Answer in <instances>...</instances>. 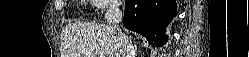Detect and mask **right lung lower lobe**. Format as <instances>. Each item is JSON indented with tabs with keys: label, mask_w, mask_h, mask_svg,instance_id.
Listing matches in <instances>:
<instances>
[{
	"label": "right lung lower lobe",
	"mask_w": 249,
	"mask_h": 57,
	"mask_svg": "<svg viewBox=\"0 0 249 57\" xmlns=\"http://www.w3.org/2000/svg\"><path fill=\"white\" fill-rule=\"evenodd\" d=\"M177 15L176 2L170 0H125L124 26L156 45L167 41L165 28Z\"/></svg>",
	"instance_id": "right-lung-lower-lobe-1"
}]
</instances>
